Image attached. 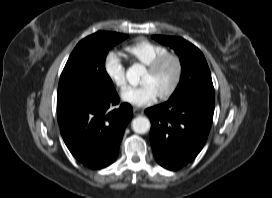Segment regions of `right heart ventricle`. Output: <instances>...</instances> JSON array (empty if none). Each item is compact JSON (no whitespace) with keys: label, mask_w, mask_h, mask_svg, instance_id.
Returning <instances> with one entry per match:
<instances>
[{"label":"right heart ventricle","mask_w":272,"mask_h":198,"mask_svg":"<svg viewBox=\"0 0 272 198\" xmlns=\"http://www.w3.org/2000/svg\"><path fill=\"white\" fill-rule=\"evenodd\" d=\"M123 50L134 61L143 65H148L155 58L168 53V50L165 46L145 38H140L135 42L125 45Z\"/></svg>","instance_id":"1"}]
</instances>
